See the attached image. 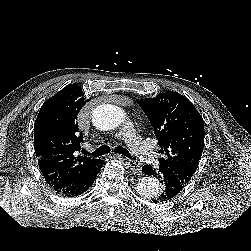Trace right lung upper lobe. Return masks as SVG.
<instances>
[{"label": "right lung upper lobe", "instance_id": "1", "mask_svg": "<svg viewBox=\"0 0 251 251\" xmlns=\"http://www.w3.org/2000/svg\"><path fill=\"white\" fill-rule=\"evenodd\" d=\"M89 100L77 84H70L49 98L39 111L34 125V149L48 183L79 177L100 162L78 155L83 136L76 120Z\"/></svg>", "mask_w": 251, "mask_h": 251}]
</instances>
